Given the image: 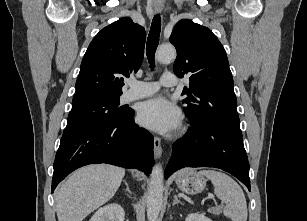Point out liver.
Wrapping results in <instances>:
<instances>
[{
  "label": "liver",
  "instance_id": "6515ba94",
  "mask_svg": "<svg viewBox=\"0 0 307 221\" xmlns=\"http://www.w3.org/2000/svg\"><path fill=\"white\" fill-rule=\"evenodd\" d=\"M124 175L123 168L108 164L76 170L55 191L58 221H83L114 196Z\"/></svg>",
  "mask_w": 307,
  "mask_h": 221
}]
</instances>
